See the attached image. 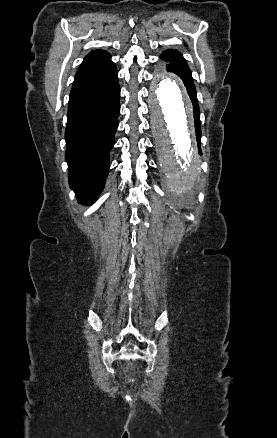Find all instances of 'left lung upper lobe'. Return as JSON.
<instances>
[{
  "label": "left lung upper lobe",
  "mask_w": 277,
  "mask_h": 438,
  "mask_svg": "<svg viewBox=\"0 0 277 438\" xmlns=\"http://www.w3.org/2000/svg\"><path fill=\"white\" fill-rule=\"evenodd\" d=\"M160 58L168 63L166 66L167 71L178 74L179 77L184 81L189 97L193 102L194 116L195 114H199L197 94L193 83V78L182 54L176 50H166L160 55Z\"/></svg>",
  "instance_id": "obj_1"
}]
</instances>
